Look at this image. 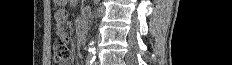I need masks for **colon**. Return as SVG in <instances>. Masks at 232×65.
Here are the masks:
<instances>
[{
	"label": "colon",
	"mask_w": 232,
	"mask_h": 65,
	"mask_svg": "<svg viewBox=\"0 0 232 65\" xmlns=\"http://www.w3.org/2000/svg\"><path fill=\"white\" fill-rule=\"evenodd\" d=\"M53 57L59 64L66 62L71 57V52L65 41L60 40L54 43Z\"/></svg>",
	"instance_id": "obj_1"
}]
</instances>
